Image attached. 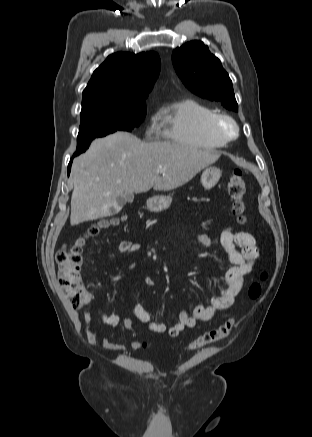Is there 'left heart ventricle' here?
<instances>
[{
	"mask_svg": "<svg viewBox=\"0 0 312 437\" xmlns=\"http://www.w3.org/2000/svg\"><path fill=\"white\" fill-rule=\"evenodd\" d=\"M223 128H224L226 131H230V130H231V128H230L227 124H224V125H223Z\"/></svg>",
	"mask_w": 312,
	"mask_h": 437,
	"instance_id": "left-heart-ventricle-1",
	"label": "left heart ventricle"
}]
</instances>
